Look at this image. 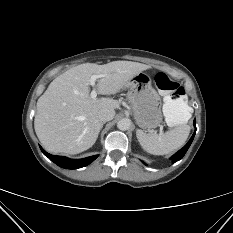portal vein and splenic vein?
<instances>
[{"label":"portal vein and splenic vein","mask_w":233,"mask_h":233,"mask_svg":"<svg viewBox=\"0 0 233 233\" xmlns=\"http://www.w3.org/2000/svg\"><path fill=\"white\" fill-rule=\"evenodd\" d=\"M102 77H104V75H92V76L90 77L89 84H90L92 87H95V82H96V80L99 79V78H102ZM90 96H91L92 99H95V98L97 97V91H96L95 88H93V90H92ZM160 132H162V129L160 130Z\"/></svg>","instance_id":"1"}]
</instances>
